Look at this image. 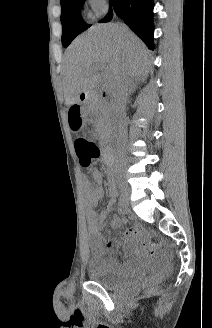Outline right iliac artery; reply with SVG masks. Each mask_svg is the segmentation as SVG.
<instances>
[{
  "label": "right iliac artery",
  "instance_id": "obj_1",
  "mask_svg": "<svg viewBox=\"0 0 212 328\" xmlns=\"http://www.w3.org/2000/svg\"><path fill=\"white\" fill-rule=\"evenodd\" d=\"M119 204H120L121 206H125V200H124L123 198H120V199H119Z\"/></svg>",
  "mask_w": 212,
  "mask_h": 328
}]
</instances>
